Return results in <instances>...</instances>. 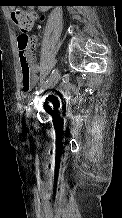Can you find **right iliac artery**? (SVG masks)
<instances>
[{
  "instance_id": "obj_1",
  "label": "right iliac artery",
  "mask_w": 122,
  "mask_h": 218,
  "mask_svg": "<svg viewBox=\"0 0 122 218\" xmlns=\"http://www.w3.org/2000/svg\"><path fill=\"white\" fill-rule=\"evenodd\" d=\"M57 70L54 69L50 75V77L44 82V84L40 87V89L36 90L30 97L29 103L31 104L33 100L36 99L37 95L42 91L43 87L46 86L56 75Z\"/></svg>"
}]
</instances>
